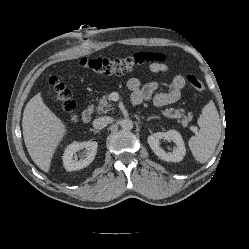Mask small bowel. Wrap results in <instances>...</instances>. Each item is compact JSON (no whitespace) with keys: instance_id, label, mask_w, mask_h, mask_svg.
I'll list each match as a JSON object with an SVG mask.
<instances>
[{"instance_id":"c3829d8e","label":"small bowel","mask_w":249,"mask_h":249,"mask_svg":"<svg viewBox=\"0 0 249 249\" xmlns=\"http://www.w3.org/2000/svg\"><path fill=\"white\" fill-rule=\"evenodd\" d=\"M149 71L152 73L168 74L169 69L165 64H159L150 66ZM184 86L185 79L182 75L172 76L169 90L156 94L153 98L154 104L158 107H163L177 102L181 97ZM127 87L132 92V101L135 104H140L153 96L159 84L157 82H149L142 85L140 79L133 77L128 80Z\"/></svg>"}]
</instances>
